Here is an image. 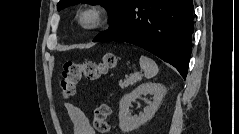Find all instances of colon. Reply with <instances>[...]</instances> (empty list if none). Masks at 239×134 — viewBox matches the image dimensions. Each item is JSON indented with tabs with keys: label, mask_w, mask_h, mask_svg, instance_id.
<instances>
[{
	"label": "colon",
	"mask_w": 239,
	"mask_h": 134,
	"mask_svg": "<svg viewBox=\"0 0 239 134\" xmlns=\"http://www.w3.org/2000/svg\"><path fill=\"white\" fill-rule=\"evenodd\" d=\"M117 58L108 53L101 61H84L82 63L66 62L61 72V91L66 97L76 93L77 86L82 79L97 81L116 66ZM111 115V107L108 104H100L94 111V127L100 133H109L111 127L108 118Z\"/></svg>",
	"instance_id": "colon-1"
}]
</instances>
